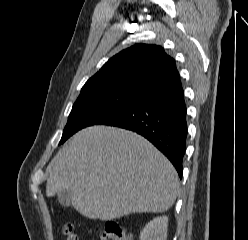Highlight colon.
Here are the masks:
<instances>
[{"label":"colon","mask_w":248,"mask_h":240,"mask_svg":"<svg viewBox=\"0 0 248 240\" xmlns=\"http://www.w3.org/2000/svg\"><path fill=\"white\" fill-rule=\"evenodd\" d=\"M62 230L65 240H79L72 224H64ZM100 240H132V236L117 222L109 221L105 225Z\"/></svg>","instance_id":"colon-1"}]
</instances>
